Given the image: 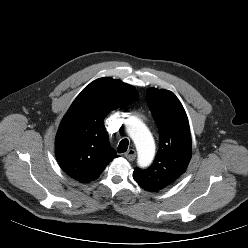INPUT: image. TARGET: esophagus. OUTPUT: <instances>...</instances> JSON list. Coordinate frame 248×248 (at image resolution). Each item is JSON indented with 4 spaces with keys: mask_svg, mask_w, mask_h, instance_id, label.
<instances>
[{
    "mask_svg": "<svg viewBox=\"0 0 248 248\" xmlns=\"http://www.w3.org/2000/svg\"><path fill=\"white\" fill-rule=\"evenodd\" d=\"M125 158L129 161H133L136 158V151L134 149H129L125 154Z\"/></svg>",
    "mask_w": 248,
    "mask_h": 248,
    "instance_id": "34e87169",
    "label": "esophagus"
}]
</instances>
